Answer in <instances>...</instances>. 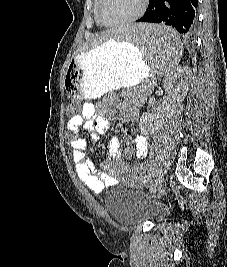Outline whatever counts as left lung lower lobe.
Listing matches in <instances>:
<instances>
[{"label": "left lung lower lobe", "mask_w": 227, "mask_h": 267, "mask_svg": "<svg viewBox=\"0 0 227 267\" xmlns=\"http://www.w3.org/2000/svg\"><path fill=\"white\" fill-rule=\"evenodd\" d=\"M198 0H149V7L137 22L159 23L177 30L185 37L196 29Z\"/></svg>", "instance_id": "left-lung-lower-lobe-1"}]
</instances>
